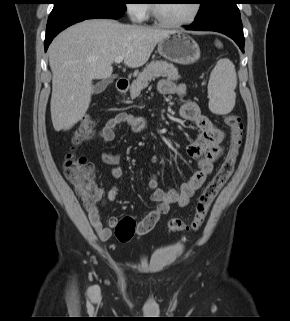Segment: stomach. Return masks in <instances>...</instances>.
<instances>
[{"mask_svg": "<svg viewBox=\"0 0 290 321\" xmlns=\"http://www.w3.org/2000/svg\"><path fill=\"white\" fill-rule=\"evenodd\" d=\"M158 52L165 59L181 65H190L200 58L196 41L182 31H173L158 43Z\"/></svg>", "mask_w": 290, "mask_h": 321, "instance_id": "1", "label": "stomach"}]
</instances>
